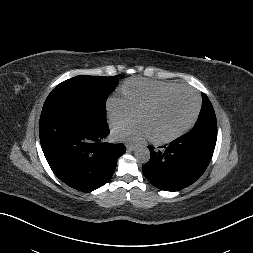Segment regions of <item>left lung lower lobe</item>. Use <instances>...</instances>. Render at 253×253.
Returning <instances> with one entry per match:
<instances>
[{"label": "left lung lower lobe", "instance_id": "left-lung-lower-lobe-1", "mask_svg": "<svg viewBox=\"0 0 253 253\" xmlns=\"http://www.w3.org/2000/svg\"><path fill=\"white\" fill-rule=\"evenodd\" d=\"M217 137L188 132L167 146H148L150 160L143 168L146 179L165 191H179L194 183L212 158Z\"/></svg>", "mask_w": 253, "mask_h": 253}]
</instances>
